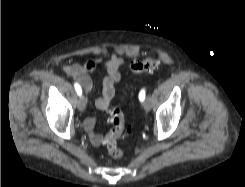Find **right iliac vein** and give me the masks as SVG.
I'll list each match as a JSON object with an SVG mask.
<instances>
[{"mask_svg":"<svg viewBox=\"0 0 245 187\" xmlns=\"http://www.w3.org/2000/svg\"><path fill=\"white\" fill-rule=\"evenodd\" d=\"M79 111H84L86 108V98L84 96L80 97L77 103Z\"/></svg>","mask_w":245,"mask_h":187,"instance_id":"right-iliac-vein-1","label":"right iliac vein"}]
</instances>
